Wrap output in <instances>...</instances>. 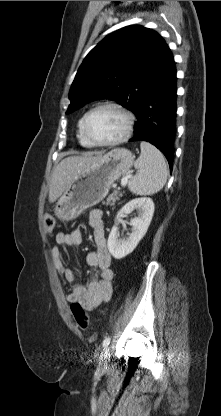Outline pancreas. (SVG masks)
<instances>
[{
  "mask_svg": "<svg viewBox=\"0 0 221 416\" xmlns=\"http://www.w3.org/2000/svg\"><path fill=\"white\" fill-rule=\"evenodd\" d=\"M121 194H119L117 191H114L111 195L108 196L106 199V202H103L104 205L108 206H114L115 202L120 199Z\"/></svg>",
  "mask_w": 221,
  "mask_h": 416,
  "instance_id": "cf45deb5",
  "label": "pancreas"
}]
</instances>
